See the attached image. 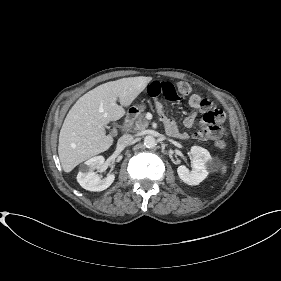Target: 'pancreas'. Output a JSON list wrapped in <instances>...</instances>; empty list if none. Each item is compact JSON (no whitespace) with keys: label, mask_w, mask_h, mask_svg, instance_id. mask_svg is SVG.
Instances as JSON below:
<instances>
[{"label":"pancreas","mask_w":281,"mask_h":281,"mask_svg":"<svg viewBox=\"0 0 281 281\" xmlns=\"http://www.w3.org/2000/svg\"><path fill=\"white\" fill-rule=\"evenodd\" d=\"M129 125L133 126L134 130L136 131H142L148 127L149 122L145 118V114L141 113L138 116H136L134 119L130 120Z\"/></svg>","instance_id":"1"}]
</instances>
